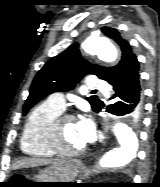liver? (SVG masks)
<instances>
[{
	"label": "liver",
	"mask_w": 160,
	"mask_h": 187,
	"mask_svg": "<svg viewBox=\"0 0 160 187\" xmlns=\"http://www.w3.org/2000/svg\"><path fill=\"white\" fill-rule=\"evenodd\" d=\"M56 160H42L37 158H25L18 162H16L13 165V169H20V168H29V167H36V166H42L46 164H52Z\"/></svg>",
	"instance_id": "1"
}]
</instances>
